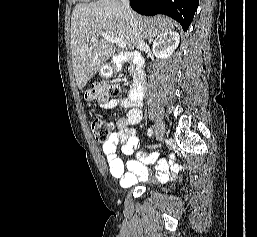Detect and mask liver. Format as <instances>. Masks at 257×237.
<instances>
[{
  "mask_svg": "<svg viewBox=\"0 0 257 237\" xmlns=\"http://www.w3.org/2000/svg\"><path fill=\"white\" fill-rule=\"evenodd\" d=\"M132 15L130 20L119 0L76 4L70 31L73 70L79 89L84 88L115 52L114 43L106 41L100 32L123 40L130 50H134L138 37L149 39L174 29L167 17H144L135 12ZM92 37L94 42H91Z\"/></svg>",
  "mask_w": 257,
  "mask_h": 237,
  "instance_id": "1",
  "label": "liver"
}]
</instances>
